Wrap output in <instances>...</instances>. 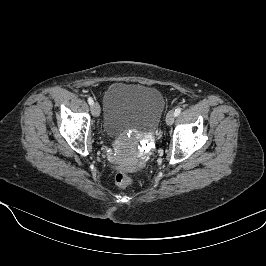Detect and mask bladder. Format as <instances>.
Masks as SVG:
<instances>
[{"label":"bladder","mask_w":266,"mask_h":266,"mask_svg":"<svg viewBox=\"0 0 266 266\" xmlns=\"http://www.w3.org/2000/svg\"><path fill=\"white\" fill-rule=\"evenodd\" d=\"M164 109V97L156 88L114 83L104 94V131L110 137H117L130 129L153 132Z\"/></svg>","instance_id":"1"}]
</instances>
